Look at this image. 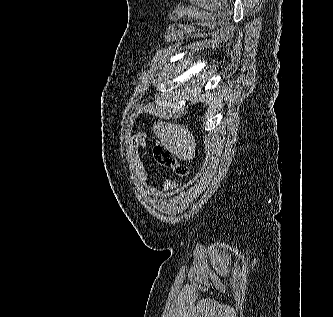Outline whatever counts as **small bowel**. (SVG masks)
Masks as SVG:
<instances>
[{"label":"small bowel","instance_id":"obj_1","mask_svg":"<svg viewBox=\"0 0 333 317\" xmlns=\"http://www.w3.org/2000/svg\"><path fill=\"white\" fill-rule=\"evenodd\" d=\"M146 135L142 132L133 135L127 146V152L131 164L142 184H146L149 178L148 171L140 155V148L146 145ZM177 191V185L172 180H166L158 191L161 198L172 196Z\"/></svg>","mask_w":333,"mask_h":317}]
</instances>
